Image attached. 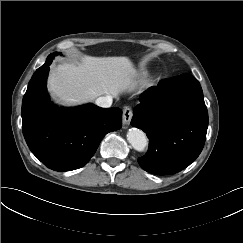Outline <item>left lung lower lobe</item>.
<instances>
[{"label":"left lung lower lobe","mask_w":243,"mask_h":243,"mask_svg":"<svg viewBox=\"0 0 243 243\" xmlns=\"http://www.w3.org/2000/svg\"><path fill=\"white\" fill-rule=\"evenodd\" d=\"M132 126L149 138V150L138 159L147 172L174 174L201 153L207 133L208 112L199 82L190 74L162 80L140 95Z\"/></svg>","instance_id":"obj_1"}]
</instances>
